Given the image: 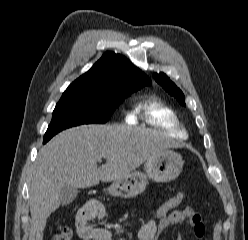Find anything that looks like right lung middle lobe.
Wrapping results in <instances>:
<instances>
[{
    "instance_id": "right-lung-middle-lobe-1",
    "label": "right lung middle lobe",
    "mask_w": 248,
    "mask_h": 240,
    "mask_svg": "<svg viewBox=\"0 0 248 240\" xmlns=\"http://www.w3.org/2000/svg\"><path fill=\"white\" fill-rule=\"evenodd\" d=\"M148 84L130 80L111 88L66 90L56 104L43 143L66 128L107 122L120 102Z\"/></svg>"
}]
</instances>
